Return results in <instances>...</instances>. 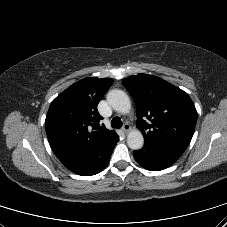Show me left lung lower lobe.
Returning <instances> with one entry per match:
<instances>
[{
	"mask_svg": "<svg viewBox=\"0 0 227 227\" xmlns=\"http://www.w3.org/2000/svg\"><path fill=\"white\" fill-rule=\"evenodd\" d=\"M135 160L151 171L163 170L175 163L182 152L160 145L144 144L143 148L133 152Z\"/></svg>",
	"mask_w": 227,
	"mask_h": 227,
	"instance_id": "obj_1",
	"label": "left lung lower lobe"
}]
</instances>
